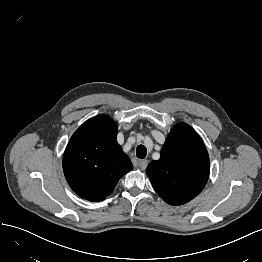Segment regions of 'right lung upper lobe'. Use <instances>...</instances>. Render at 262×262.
Segmentation results:
<instances>
[{
	"mask_svg": "<svg viewBox=\"0 0 262 262\" xmlns=\"http://www.w3.org/2000/svg\"><path fill=\"white\" fill-rule=\"evenodd\" d=\"M118 127L106 115L83 123L72 135L63 156V170L72 190L89 201H102L119 179L133 169L116 141Z\"/></svg>",
	"mask_w": 262,
	"mask_h": 262,
	"instance_id": "right-lung-upper-lobe-1",
	"label": "right lung upper lobe"
}]
</instances>
